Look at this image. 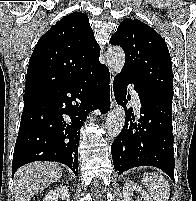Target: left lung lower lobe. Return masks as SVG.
Returning <instances> with one entry per match:
<instances>
[{
  "mask_svg": "<svg viewBox=\"0 0 196 201\" xmlns=\"http://www.w3.org/2000/svg\"><path fill=\"white\" fill-rule=\"evenodd\" d=\"M130 83L134 84L139 95L141 115L135 120L133 109L126 110L125 126L111 146L114 169L121 175L130 168L154 166L174 180L173 98L145 89L131 78L118 74L113 89L117 103L122 106L128 102L126 87Z\"/></svg>",
  "mask_w": 196,
  "mask_h": 201,
  "instance_id": "0a47b994",
  "label": "left lung lower lobe"
}]
</instances>
